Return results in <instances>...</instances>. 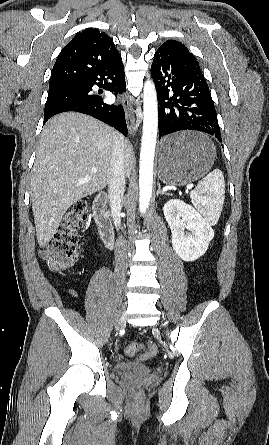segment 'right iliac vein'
Wrapping results in <instances>:
<instances>
[{
	"label": "right iliac vein",
	"mask_w": 269,
	"mask_h": 445,
	"mask_svg": "<svg viewBox=\"0 0 269 445\" xmlns=\"http://www.w3.org/2000/svg\"><path fill=\"white\" fill-rule=\"evenodd\" d=\"M126 322V316L125 313L122 312V314L119 315L117 321H116V329L118 330L121 328Z\"/></svg>",
	"instance_id": "1"
}]
</instances>
